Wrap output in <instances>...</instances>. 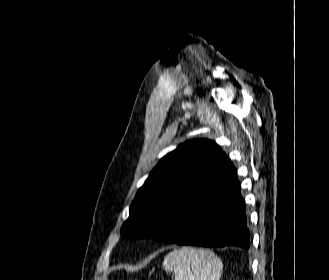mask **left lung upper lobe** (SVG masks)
I'll return each instance as SVG.
<instances>
[{"label": "left lung upper lobe", "instance_id": "1", "mask_svg": "<svg viewBox=\"0 0 329 280\" xmlns=\"http://www.w3.org/2000/svg\"><path fill=\"white\" fill-rule=\"evenodd\" d=\"M230 166L213 141L196 139L181 144L159 161L137 192L121 235L161 241V230L178 222L207 190L218 188Z\"/></svg>", "mask_w": 329, "mask_h": 280}]
</instances>
